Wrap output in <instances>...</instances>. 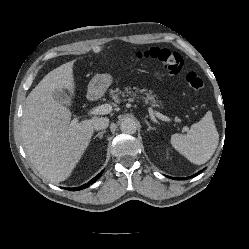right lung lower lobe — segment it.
Returning <instances> with one entry per match:
<instances>
[{
  "label": "right lung lower lobe",
  "mask_w": 249,
  "mask_h": 249,
  "mask_svg": "<svg viewBox=\"0 0 249 249\" xmlns=\"http://www.w3.org/2000/svg\"><path fill=\"white\" fill-rule=\"evenodd\" d=\"M103 171L100 172L96 177H94L91 181H89L87 184H84L80 187H76V188H67L70 191H77V190H81L83 188L88 187L90 184H93L96 180H98L100 178V176L102 175Z\"/></svg>",
  "instance_id": "right-lung-lower-lobe-1"
}]
</instances>
